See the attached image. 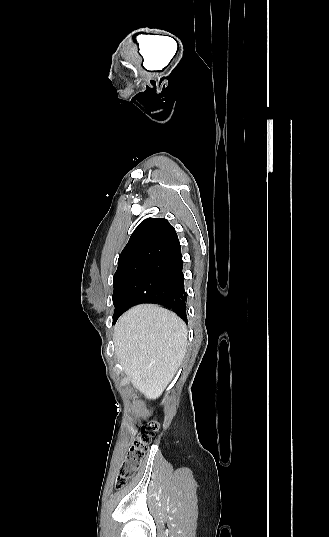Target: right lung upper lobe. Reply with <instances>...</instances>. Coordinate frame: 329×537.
<instances>
[{
	"label": "right lung upper lobe",
	"instance_id": "right-lung-upper-lobe-1",
	"mask_svg": "<svg viewBox=\"0 0 329 537\" xmlns=\"http://www.w3.org/2000/svg\"><path fill=\"white\" fill-rule=\"evenodd\" d=\"M179 244L175 229L163 218H147L132 233L118 259V268L137 261L152 262Z\"/></svg>",
	"mask_w": 329,
	"mask_h": 537
}]
</instances>
